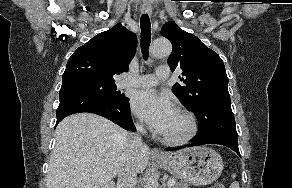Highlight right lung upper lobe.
Returning <instances> with one entry per match:
<instances>
[{
	"label": "right lung upper lobe",
	"mask_w": 292,
	"mask_h": 188,
	"mask_svg": "<svg viewBox=\"0 0 292 188\" xmlns=\"http://www.w3.org/2000/svg\"><path fill=\"white\" fill-rule=\"evenodd\" d=\"M136 45V35L118 23L93 37L71 55L62 80L87 77L115 81L114 74L127 71Z\"/></svg>",
	"instance_id": "cb5924a9"
}]
</instances>
